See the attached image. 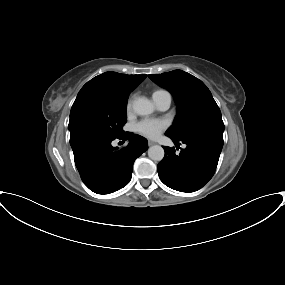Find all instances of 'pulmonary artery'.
<instances>
[{"instance_id":"1","label":"pulmonary artery","mask_w":285,"mask_h":285,"mask_svg":"<svg viewBox=\"0 0 285 285\" xmlns=\"http://www.w3.org/2000/svg\"><path fill=\"white\" fill-rule=\"evenodd\" d=\"M153 101L158 109L165 111L171 105V95L166 92L156 96H153Z\"/></svg>"}]
</instances>
